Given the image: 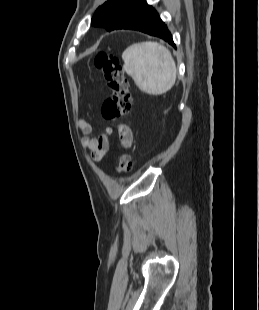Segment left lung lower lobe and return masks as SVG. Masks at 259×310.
<instances>
[{
    "label": "left lung lower lobe",
    "mask_w": 259,
    "mask_h": 310,
    "mask_svg": "<svg viewBox=\"0 0 259 310\" xmlns=\"http://www.w3.org/2000/svg\"><path fill=\"white\" fill-rule=\"evenodd\" d=\"M115 29H131L141 31L152 36L160 37L175 47L172 40V35L167 29V26L161 20L156 10L152 6L147 5V3L131 10L118 23Z\"/></svg>",
    "instance_id": "left-lung-lower-lobe-1"
}]
</instances>
